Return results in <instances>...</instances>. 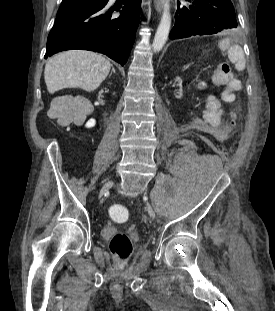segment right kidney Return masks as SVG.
Masks as SVG:
<instances>
[{"label": "right kidney", "instance_id": "ca27d5eb", "mask_svg": "<svg viewBox=\"0 0 275 311\" xmlns=\"http://www.w3.org/2000/svg\"><path fill=\"white\" fill-rule=\"evenodd\" d=\"M99 97L96 99L98 104H103L105 99L103 97H111L113 92L111 90H106L104 87H101L98 92Z\"/></svg>", "mask_w": 275, "mask_h": 311}]
</instances>
